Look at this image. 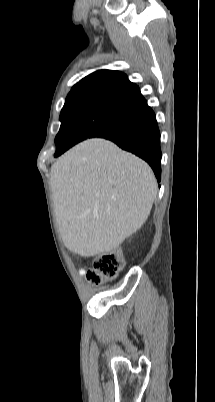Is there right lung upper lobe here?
<instances>
[{
	"instance_id": "right-lung-upper-lobe-1",
	"label": "right lung upper lobe",
	"mask_w": 215,
	"mask_h": 402,
	"mask_svg": "<svg viewBox=\"0 0 215 402\" xmlns=\"http://www.w3.org/2000/svg\"><path fill=\"white\" fill-rule=\"evenodd\" d=\"M107 94L134 103L147 104L139 87L126 74L115 70H98L75 84L68 96Z\"/></svg>"
}]
</instances>
